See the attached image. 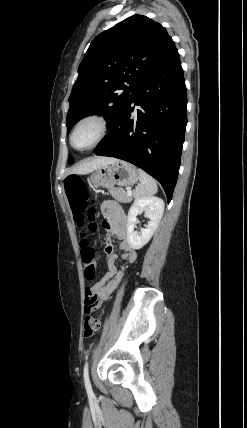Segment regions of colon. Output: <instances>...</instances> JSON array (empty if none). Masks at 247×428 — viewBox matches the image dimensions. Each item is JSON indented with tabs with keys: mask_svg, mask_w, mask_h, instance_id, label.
Listing matches in <instances>:
<instances>
[{
	"mask_svg": "<svg viewBox=\"0 0 247 428\" xmlns=\"http://www.w3.org/2000/svg\"><path fill=\"white\" fill-rule=\"evenodd\" d=\"M65 191L72 209V212L81 228L84 237L81 242V257L84 266V276L87 281H92L96 277V249L90 234L96 230L95 209L89 207V195L85 182L78 176H69L65 180ZM103 309V302L96 298H88L85 301L84 313L87 315L84 321V336L93 337L101 328L100 310ZM94 315V316H91Z\"/></svg>",
	"mask_w": 247,
	"mask_h": 428,
	"instance_id": "obj_1",
	"label": "colon"
}]
</instances>
